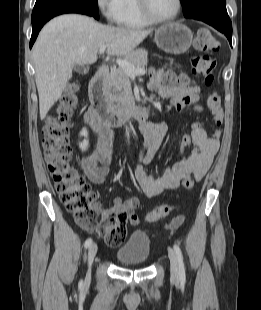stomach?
Instances as JSON below:
<instances>
[{
	"mask_svg": "<svg viewBox=\"0 0 261 310\" xmlns=\"http://www.w3.org/2000/svg\"><path fill=\"white\" fill-rule=\"evenodd\" d=\"M154 40L166 53L183 54L192 44L193 33L181 23H168L155 31Z\"/></svg>",
	"mask_w": 261,
	"mask_h": 310,
	"instance_id": "stomach-1",
	"label": "stomach"
}]
</instances>
